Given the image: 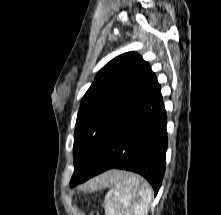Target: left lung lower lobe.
<instances>
[{
  "label": "left lung lower lobe",
  "mask_w": 221,
  "mask_h": 215,
  "mask_svg": "<svg viewBox=\"0 0 221 215\" xmlns=\"http://www.w3.org/2000/svg\"><path fill=\"white\" fill-rule=\"evenodd\" d=\"M166 111L152 72L139 94L115 119L106 142L86 175L72 187L109 169H123L145 177L157 195L165 172Z\"/></svg>",
  "instance_id": "obj_1"
}]
</instances>
